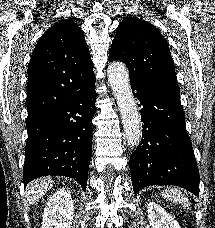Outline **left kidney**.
Wrapping results in <instances>:
<instances>
[{
	"label": "left kidney",
	"mask_w": 215,
	"mask_h": 228,
	"mask_svg": "<svg viewBox=\"0 0 215 228\" xmlns=\"http://www.w3.org/2000/svg\"><path fill=\"white\" fill-rule=\"evenodd\" d=\"M147 214L151 228H180L178 222L155 202L147 204Z\"/></svg>",
	"instance_id": "obj_1"
}]
</instances>
